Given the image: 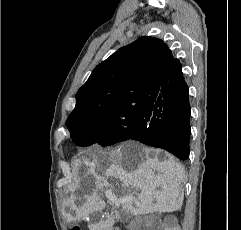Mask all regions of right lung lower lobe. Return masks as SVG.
I'll return each mask as SVG.
<instances>
[{
	"label": "right lung lower lobe",
	"mask_w": 241,
	"mask_h": 230,
	"mask_svg": "<svg viewBox=\"0 0 241 230\" xmlns=\"http://www.w3.org/2000/svg\"><path fill=\"white\" fill-rule=\"evenodd\" d=\"M190 114L188 85L182 65L176 60L163 76L158 95L146 105L148 127L141 133H132L127 140L165 149L186 160L190 152Z\"/></svg>",
	"instance_id": "obj_1"
}]
</instances>
